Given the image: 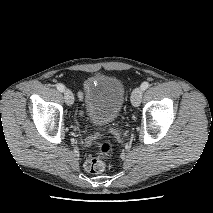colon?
<instances>
[{
    "label": "colon",
    "mask_w": 213,
    "mask_h": 213,
    "mask_svg": "<svg viewBox=\"0 0 213 213\" xmlns=\"http://www.w3.org/2000/svg\"><path fill=\"white\" fill-rule=\"evenodd\" d=\"M112 143L108 140H100L96 144V155L89 157L84 164L85 170L91 174H99L104 171L105 163L103 156H108L112 152Z\"/></svg>",
    "instance_id": "colon-1"
}]
</instances>
